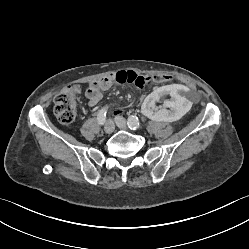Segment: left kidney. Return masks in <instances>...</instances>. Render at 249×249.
I'll return each instance as SVG.
<instances>
[{"label":"left kidney","mask_w":249,"mask_h":249,"mask_svg":"<svg viewBox=\"0 0 249 249\" xmlns=\"http://www.w3.org/2000/svg\"><path fill=\"white\" fill-rule=\"evenodd\" d=\"M139 101L138 113L147 122H177L189 113L191 107L186 88L177 83L161 86L151 94L142 93Z\"/></svg>","instance_id":"1"}]
</instances>
